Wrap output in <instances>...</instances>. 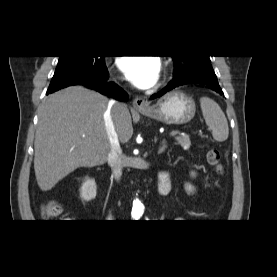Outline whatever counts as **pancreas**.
<instances>
[{"instance_id": "obj_1", "label": "pancreas", "mask_w": 277, "mask_h": 277, "mask_svg": "<svg viewBox=\"0 0 277 277\" xmlns=\"http://www.w3.org/2000/svg\"><path fill=\"white\" fill-rule=\"evenodd\" d=\"M177 143L184 149H189L191 146V141L188 135L176 137Z\"/></svg>"}]
</instances>
